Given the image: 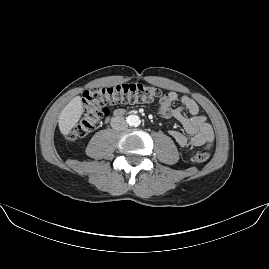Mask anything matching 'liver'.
<instances>
[{
	"mask_svg": "<svg viewBox=\"0 0 269 269\" xmlns=\"http://www.w3.org/2000/svg\"><path fill=\"white\" fill-rule=\"evenodd\" d=\"M83 112L80 96L74 97L61 111L59 116V129L63 135H68L76 125Z\"/></svg>",
	"mask_w": 269,
	"mask_h": 269,
	"instance_id": "obj_1",
	"label": "liver"
}]
</instances>
